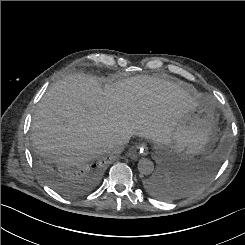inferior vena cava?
Returning a JSON list of instances; mask_svg holds the SVG:
<instances>
[{
  "label": "inferior vena cava",
  "instance_id": "obj_1",
  "mask_svg": "<svg viewBox=\"0 0 245 245\" xmlns=\"http://www.w3.org/2000/svg\"><path fill=\"white\" fill-rule=\"evenodd\" d=\"M129 143V137H124L107 145V148L113 153H121Z\"/></svg>",
  "mask_w": 245,
  "mask_h": 245
}]
</instances>
